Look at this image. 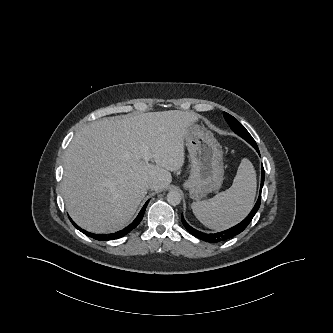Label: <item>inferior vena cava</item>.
Masks as SVG:
<instances>
[{
	"instance_id": "1",
	"label": "inferior vena cava",
	"mask_w": 333,
	"mask_h": 333,
	"mask_svg": "<svg viewBox=\"0 0 333 333\" xmlns=\"http://www.w3.org/2000/svg\"><path fill=\"white\" fill-rule=\"evenodd\" d=\"M153 186H154V181H148V182L146 183V188H147V189H151V188H153Z\"/></svg>"
}]
</instances>
